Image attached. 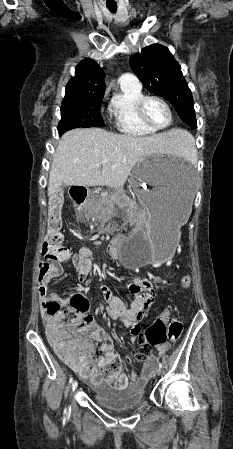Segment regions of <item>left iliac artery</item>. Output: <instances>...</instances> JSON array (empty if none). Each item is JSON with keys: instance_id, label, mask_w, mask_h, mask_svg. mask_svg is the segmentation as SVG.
<instances>
[{"instance_id": "obj_1", "label": "left iliac artery", "mask_w": 233, "mask_h": 449, "mask_svg": "<svg viewBox=\"0 0 233 449\" xmlns=\"http://www.w3.org/2000/svg\"><path fill=\"white\" fill-rule=\"evenodd\" d=\"M159 367H160V368H163V365H162L160 362H159Z\"/></svg>"}]
</instances>
